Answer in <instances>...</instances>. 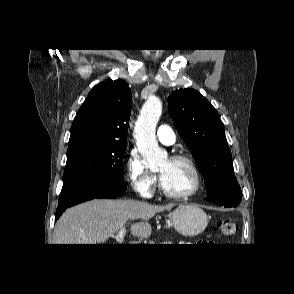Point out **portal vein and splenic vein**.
<instances>
[{"label":"portal vein and splenic vein","mask_w":294,"mask_h":294,"mask_svg":"<svg viewBox=\"0 0 294 294\" xmlns=\"http://www.w3.org/2000/svg\"><path fill=\"white\" fill-rule=\"evenodd\" d=\"M125 234H126V229H125V227H122L115 237L116 241L123 242Z\"/></svg>","instance_id":"portal-vein-and-splenic-vein-1"}]
</instances>
